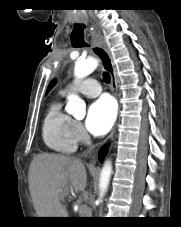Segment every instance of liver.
Wrapping results in <instances>:
<instances>
[{"instance_id":"liver-1","label":"liver","mask_w":181,"mask_h":227,"mask_svg":"<svg viewBox=\"0 0 181 227\" xmlns=\"http://www.w3.org/2000/svg\"><path fill=\"white\" fill-rule=\"evenodd\" d=\"M87 173L81 160L59 154H38L29 168V189L38 217H68L62 203L70 188L81 192Z\"/></svg>"}]
</instances>
